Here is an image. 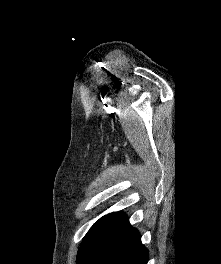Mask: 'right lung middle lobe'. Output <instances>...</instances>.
<instances>
[{"label": "right lung middle lobe", "instance_id": "right-lung-middle-lobe-1", "mask_svg": "<svg viewBox=\"0 0 221 264\" xmlns=\"http://www.w3.org/2000/svg\"><path fill=\"white\" fill-rule=\"evenodd\" d=\"M104 218H105V216L102 217L100 220H98V221H97V222L91 227V229L88 231V233H87L86 236L84 237V240H83L82 245H81V247H80V249H79L78 255H80V254L84 251V249L88 246V244H89L91 238H92V237L94 236V234L96 233L97 229L99 228V226H100V224H101V222L103 221Z\"/></svg>", "mask_w": 221, "mask_h": 264}]
</instances>
